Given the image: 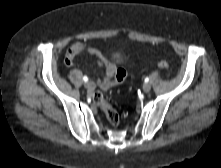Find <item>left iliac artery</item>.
<instances>
[{
  "mask_svg": "<svg viewBox=\"0 0 221 168\" xmlns=\"http://www.w3.org/2000/svg\"><path fill=\"white\" fill-rule=\"evenodd\" d=\"M147 82H149V78L148 77L145 78V83H147Z\"/></svg>",
  "mask_w": 221,
  "mask_h": 168,
  "instance_id": "obj_1",
  "label": "left iliac artery"
}]
</instances>
